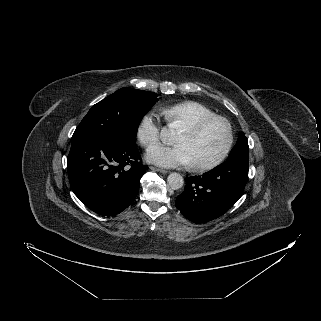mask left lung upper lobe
I'll use <instances>...</instances> for the list:
<instances>
[{"instance_id": "1", "label": "left lung upper lobe", "mask_w": 321, "mask_h": 321, "mask_svg": "<svg viewBox=\"0 0 321 321\" xmlns=\"http://www.w3.org/2000/svg\"><path fill=\"white\" fill-rule=\"evenodd\" d=\"M249 147L247 138L240 133L237 143L234 148L231 150L229 157L241 156L248 157ZM228 157V158H229Z\"/></svg>"}]
</instances>
